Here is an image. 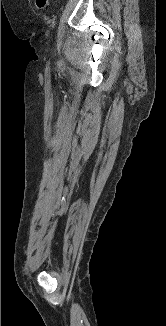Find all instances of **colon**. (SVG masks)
<instances>
[{"mask_svg": "<svg viewBox=\"0 0 166 326\" xmlns=\"http://www.w3.org/2000/svg\"><path fill=\"white\" fill-rule=\"evenodd\" d=\"M36 6L39 10H46L49 4V0H35Z\"/></svg>", "mask_w": 166, "mask_h": 326, "instance_id": "obj_1", "label": "colon"}]
</instances>
